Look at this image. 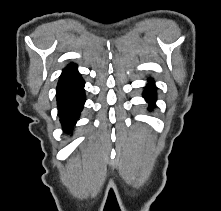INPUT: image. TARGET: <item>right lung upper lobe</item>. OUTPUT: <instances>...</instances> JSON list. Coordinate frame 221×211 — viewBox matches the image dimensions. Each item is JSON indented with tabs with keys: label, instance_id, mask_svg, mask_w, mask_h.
I'll list each match as a JSON object with an SVG mask.
<instances>
[{
	"label": "right lung upper lobe",
	"instance_id": "obj_1",
	"mask_svg": "<svg viewBox=\"0 0 221 211\" xmlns=\"http://www.w3.org/2000/svg\"><path fill=\"white\" fill-rule=\"evenodd\" d=\"M74 66H76V64H70V65H68L65 69H68V68H71V67H74Z\"/></svg>",
	"mask_w": 221,
	"mask_h": 211
}]
</instances>
